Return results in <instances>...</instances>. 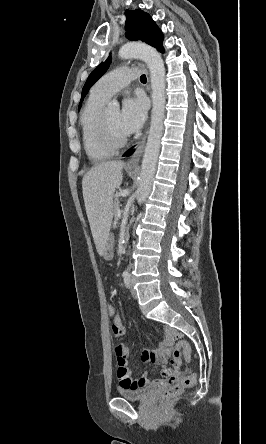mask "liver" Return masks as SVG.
Here are the masks:
<instances>
[{"label": "liver", "instance_id": "6515ba94", "mask_svg": "<svg viewBox=\"0 0 266 444\" xmlns=\"http://www.w3.org/2000/svg\"><path fill=\"white\" fill-rule=\"evenodd\" d=\"M122 161H108L91 168L83 177L82 189L94 243L103 255L113 217V195L122 183Z\"/></svg>", "mask_w": 266, "mask_h": 444}]
</instances>
